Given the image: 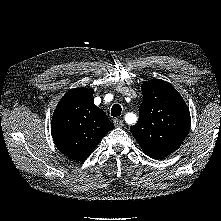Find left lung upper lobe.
Instances as JSON below:
<instances>
[{"label":"left lung upper lobe","mask_w":221,"mask_h":221,"mask_svg":"<svg viewBox=\"0 0 221 221\" xmlns=\"http://www.w3.org/2000/svg\"><path fill=\"white\" fill-rule=\"evenodd\" d=\"M139 120L130 128L143 152L162 159L179 148L190 128V112L179 92L169 83L152 79L141 86Z\"/></svg>","instance_id":"5c2ea615"}]
</instances>
